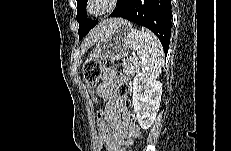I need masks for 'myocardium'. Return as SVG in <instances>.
<instances>
[{
  "label": "myocardium",
  "instance_id": "f54148a6",
  "mask_svg": "<svg viewBox=\"0 0 231 151\" xmlns=\"http://www.w3.org/2000/svg\"><path fill=\"white\" fill-rule=\"evenodd\" d=\"M116 3V0H89L86 2L85 12L89 17L103 16L109 13Z\"/></svg>",
  "mask_w": 231,
  "mask_h": 151
}]
</instances>
